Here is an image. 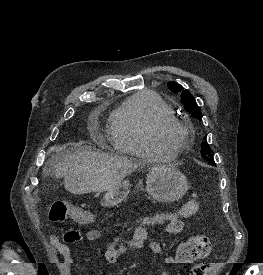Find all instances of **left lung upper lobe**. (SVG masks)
<instances>
[{"label": "left lung upper lobe", "instance_id": "5c2ea615", "mask_svg": "<svg viewBox=\"0 0 263 275\" xmlns=\"http://www.w3.org/2000/svg\"><path fill=\"white\" fill-rule=\"evenodd\" d=\"M171 91L174 93H181V102L184 105L185 109L191 113V115L199 120L202 119V114L200 111L199 106L197 105L195 98L192 96V94L188 90H184L183 87L176 83V82H170L168 84ZM201 157L209 162V164L215 166L214 159L212 158L211 149L207 143V141L202 143L201 148Z\"/></svg>", "mask_w": 263, "mask_h": 275}]
</instances>
